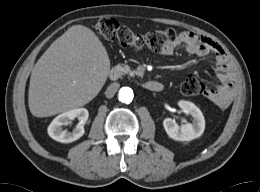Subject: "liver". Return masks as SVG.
<instances>
[{
  "label": "liver",
  "mask_w": 260,
  "mask_h": 192,
  "mask_svg": "<svg viewBox=\"0 0 260 192\" xmlns=\"http://www.w3.org/2000/svg\"><path fill=\"white\" fill-rule=\"evenodd\" d=\"M110 71L105 47L83 25L70 27L35 64L28 105L35 117H48L83 106L95 98Z\"/></svg>",
  "instance_id": "6515ba94"
}]
</instances>
